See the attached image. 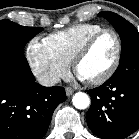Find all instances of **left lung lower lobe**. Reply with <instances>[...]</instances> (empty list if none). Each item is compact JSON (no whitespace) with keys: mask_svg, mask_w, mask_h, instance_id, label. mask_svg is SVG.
<instances>
[{"mask_svg":"<svg viewBox=\"0 0 139 139\" xmlns=\"http://www.w3.org/2000/svg\"><path fill=\"white\" fill-rule=\"evenodd\" d=\"M91 106L86 120L102 139H124L139 128V50L120 59L115 73L88 90Z\"/></svg>","mask_w":139,"mask_h":139,"instance_id":"left-lung-lower-lobe-1","label":"left lung lower lobe"}]
</instances>
